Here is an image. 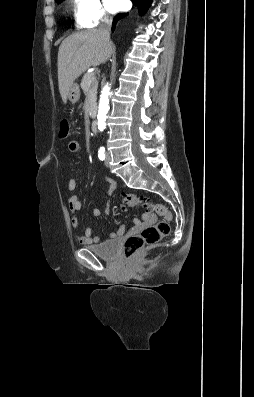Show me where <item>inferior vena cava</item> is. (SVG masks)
<instances>
[{"label":"inferior vena cava","instance_id":"602c4592","mask_svg":"<svg viewBox=\"0 0 254 397\" xmlns=\"http://www.w3.org/2000/svg\"><path fill=\"white\" fill-rule=\"evenodd\" d=\"M111 25H112V19L109 18L107 15H105L98 29L101 38L104 40V42L108 44L110 43Z\"/></svg>","mask_w":254,"mask_h":397}]
</instances>
